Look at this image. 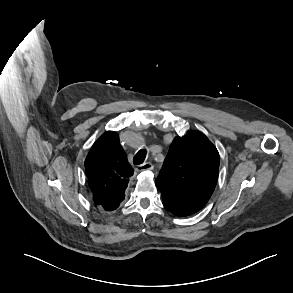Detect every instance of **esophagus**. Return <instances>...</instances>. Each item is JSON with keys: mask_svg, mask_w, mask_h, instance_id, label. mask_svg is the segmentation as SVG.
<instances>
[{"mask_svg": "<svg viewBox=\"0 0 293 293\" xmlns=\"http://www.w3.org/2000/svg\"><path fill=\"white\" fill-rule=\"evenodd\" d=\"M152 169H153L152 163L151 162H146V163H143V164L139 165L136 168V171L140 172V171L152 170Z\"/></svg>", "mask_w": 293, "mask_h": 293, "instance_id": "1", "label": "esophagus"}]
</instances>
